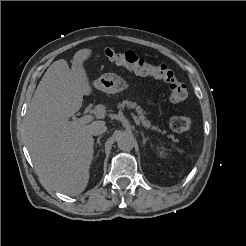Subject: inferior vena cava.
Segmentation results:
<instances>
[{"label": "inferior vena cava", "mask_w": 246, "mask_h": 246, "mask_svg": "<svg viewBox=\"0 0 246 246\" xmlns=\"http://www.w3.org/2000/svg\"><path fill=\"white\" fill-rule=\"evenodd\" d=\"M106 130H107V127L105 125V122L98 121L92 125L91 134L93 136H97V135H100V134L106 132Z\"/></svg>", "instance_id": "obj_1"}]
</instances>
